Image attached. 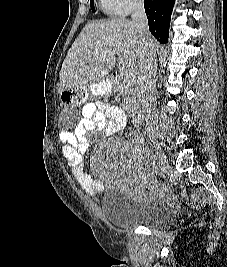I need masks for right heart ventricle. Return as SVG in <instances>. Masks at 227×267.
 <instances>
[{"label": "right heart ventricle", "instance_id": "obj_1", "mask_svg": "<svg viewBox=\"0 0 227 267\" xmlns=\"http://www.w3.org/2000/svg\"><path fill=\"white\" fill-rule=\"evenodd\" d=\"M101 7H102L103 11L108 15H117L118 14L116 9L113 6H111L110 4H108L105 0H101Z\"/></svg>", "mask_w": 227, "mask_h": 267}]
</instances>
